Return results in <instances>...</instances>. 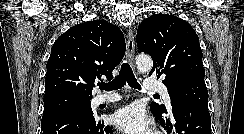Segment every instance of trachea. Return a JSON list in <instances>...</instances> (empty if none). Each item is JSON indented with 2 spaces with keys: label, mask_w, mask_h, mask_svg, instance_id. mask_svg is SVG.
Returning <instances> with one entry per match:
<instances>
[{
  "label": "trachea",
  "mask_w": 244,
  "mask_h": 134,
  "mask_svg": "<svg viewBox=\"0 0 244 134\" xmlns=\"http://www.w3.org/2000/svg\"><path fill=\"white\" fill-rule=\"evenodd\" d=\"M126 83H128V85L134 89L141 90V86L137 82L131 67L128 63H123L121 65L119 75L114 80L108 83L100 84L99 88L106 91L118 90L122 88ZM155 96L159 97L158 94H155Z\"/></svg>",
  "instance_id": "1"
}]
</instances>
